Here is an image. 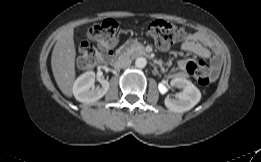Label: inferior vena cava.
Wrapping results in <instances>:
<instances>
[{
  "label": "inferior vena cava",
  "instance_id": "obj_1",
  "mask_svg": "<svg viewBox=\"0 0 261 162\" xmlns=\"http://www.w3.org/2000/svg\"><path fill=\"white\" fill-rule=\"evenodd\" d=\"M130 66H131V60L128 59V58H119L114 65V67L117 68V69H119V68L125 69V68H128Z\"/></svg>",
  "mask_w": 261,
  "mask_h": 162
}]
</instances>
